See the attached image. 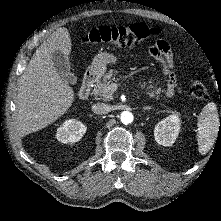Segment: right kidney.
<instances>
[{
    "mask_svg": "<svg viewBox=\"0 0 221 221\" xmlns=\"http://www.w3.org/2000/svg\"><path fill=\"white\" fill-rule=\"evenodd\" d=\"M85 132L86 127L82 122L69 119L57 129L56 138L62 143H75L82 138Z\"/></svg>",
    "mask_w": 221,
    "mask_h": 221,
    "instance_id": "1",
    "label": "right kidney"
}]
</instances>
